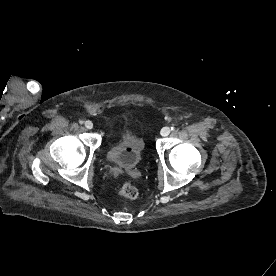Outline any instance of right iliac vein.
I'll return each instance as SVG.
<instances>
[{
  "instance_id": "63e3f726",
  "label": "right iliac vein",
  "mask_w": 276,
  "mask_h": 276,
  "mask_svg": "<svg viewBox=\"0 0 276 276\" xmlns=\"http://www.w3.org/2000/svg\"><path fill=\"white\" fill-rule=\"evenodd\" d=\"M84 126L87 128V129H92L93 128V123H92V121H90V120H86L85 122H84Z\"/></svg>"
}]
</instances>
